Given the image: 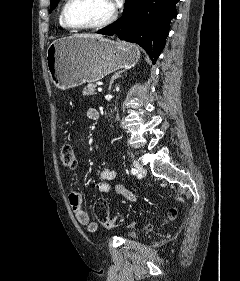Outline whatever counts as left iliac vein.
<instances>
[{"label": "left iliac vein", "instance_id": "left-iliac-vein-1", "mask_svg": "<svg viewBox=\"0 0 240 281\" xmlns=\"http://www.w3.org/2000/svg\"><path fill=\"white\" fill-rule=\"evenodd\" d=\"M134 166L137 168L140 177H142L146 174V169L143 167V165L139 161H135Z\"/></svg>", "mask_w": 240, "mask_h": 281}]
</instances>
